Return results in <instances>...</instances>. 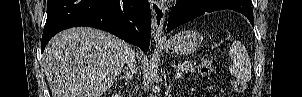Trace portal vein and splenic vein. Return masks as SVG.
Segmentation results:
<instances>
[{
    "label": "portal vein and splenic vein",
    "mask_w": 302,
    "mask_h": 97,
    "mask_svg": "<svg viewBox=\"0 0 302 97\" xmlns=\"http://www.w3.org/2000/svg\"><path fill=\"white\" fill-rule=\"evenodd\" d=\"M181 76V73L178 71L177 72V77H180Z\"/></svg>",
    "instance_id": "obj_1"
}]
</instances>
